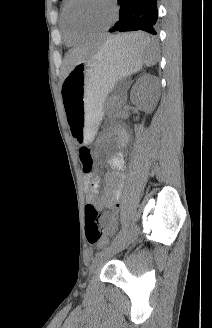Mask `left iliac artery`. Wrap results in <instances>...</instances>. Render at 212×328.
I'll return each instance as SVG.
<instances>
[{
  "label": "left iliac artery",
  "instance_id": "1",
  "mask_svg": "<svg viewBox=\"0 0 212 328\" xmlns=\"http://www.w3.org/2000/svg\"><path fill=\"white\" fill-rule=\"evenodd\" d=\"M127 227H128V224L126 223L122 229L120 230V232L114 237L113 241H112V244L118 240H120L126 233L127 231Z\"/></svg>",
  "mask_w": 212,
  "mask_h": 328
}]
</instances>
